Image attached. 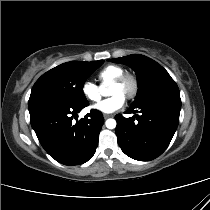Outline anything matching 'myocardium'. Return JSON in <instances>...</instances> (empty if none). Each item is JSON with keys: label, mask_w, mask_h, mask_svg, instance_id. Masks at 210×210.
I'll return each instance as SVG.
<instances>
[{"label": "myocardium", "mask_w": 210, "mask_h": 210, "mask_svg": "<svg viewBox=\"0 0 210 210\" xmlns=\"http://www.w3.org/2000/svg\"><path fill=\"white\" fill-rule=\"evenodd\" d=\"M126 84H129L130 88L124 97L127 100H132L137 96L139 90V82L135 75L123 73L111 83V86H124Z\"/></svg>", "instance_id": "myocardium-1"}]
</instances>
